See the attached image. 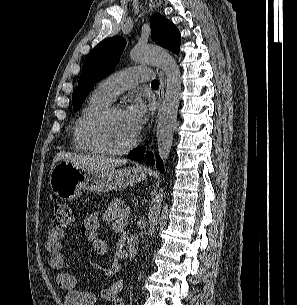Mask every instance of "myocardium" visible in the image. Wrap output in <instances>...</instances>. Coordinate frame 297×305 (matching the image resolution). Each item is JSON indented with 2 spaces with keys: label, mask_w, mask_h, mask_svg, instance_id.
<instances>
[{
  "label": "myocardium",
  "mask_w": 297,
  "mask_h": 305,
  "mask_svg": "<svg viewBox=\"0 0 297 305\" xmlns=\"http://www.w3.org/2000/svg\"><path fill=\"white\" fill-rule=\"evenodd\" d=\"M119 109L115 105H108L93 113L84 123L83 132L86 139L94 145L100 152L108 155H121L130 151L137 143L134 137L129 143L122 147H111L103 139L101 135V125L108 116L115 110Z\"/></svg>",
  "instance_id": "1"
}]
</instances>
